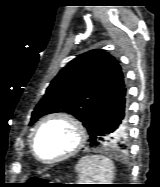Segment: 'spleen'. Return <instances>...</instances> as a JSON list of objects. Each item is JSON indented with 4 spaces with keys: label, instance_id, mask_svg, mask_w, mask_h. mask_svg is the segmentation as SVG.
Listing matches in <instances>:
<instances>
[{
    "label": "spleen",
    "instance_id": "obj_1",
    "mask_svg": "<svg viewBox=\"0 0 160 187\" xmlns=\"http://www.w3.org/2000/svg\"><path fill=\"white\" fill-rule=\"evenodd\" d=\"M75 170L81 184H111L114 178L113 162L101 155L81 158Z\"/></svg>",
    "mask_w": 160,
    "mask_h": 187
}]
</instances>
